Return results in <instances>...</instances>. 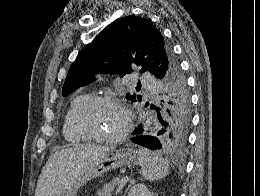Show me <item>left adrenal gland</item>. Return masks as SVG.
<instances>
[{"instance_id":"1","label":"left adrenal gland","mask_w":260,"mask_h":196,"mask_svg":"<svg viewBox=\"0 0 260 196\" xmlns=\"http://www.w3.org/2000/svg\"><path fill=\"white\" fill-rule=\"evenodd\" d=\"M131 184H135V180H130V186H131ZM130 186H128L127 190H125L124 196H126V194H127L128 190H129Z\"/></svg>"}]
</instances>
